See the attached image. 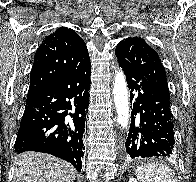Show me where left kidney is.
Here are the masks:
<instances>
[{
    "instance_id": "left-kidney-1",
    "label": "left kidney",
    "mask_w": 196,
    "mask_h": 182,
    "mask_svg": "<svg viewBox=\"0 0 196 182\" xmlns=\"http://www.w3.org/2000/svg\"><path fill=\"white\" fill-rule=\"evenodd\" d=\"M129 182H138V181L135 178L132 177V178L129 179Z\"/></svg>"
}]
</instances>
